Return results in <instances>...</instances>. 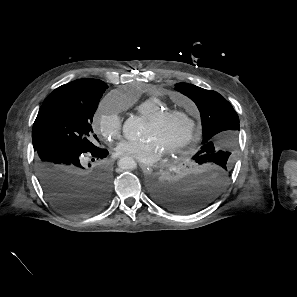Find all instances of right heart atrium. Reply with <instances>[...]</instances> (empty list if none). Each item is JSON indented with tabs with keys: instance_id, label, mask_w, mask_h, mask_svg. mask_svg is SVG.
Listing matches in <instances>:
<instances>
[{
	"instance_id": "right-heart-atrium-1",
	"label": "right heart atrium",
	"mask_w": 297,
	"mask_h": 297,
	"mask_svg": "<svg viewBox=\"0 0 297 297\" xmlns=\"http://www.w3.org/2000/svg\"><path fill=\"white\" fill-rule=\"evenodd\" d=\"M123 107L113 98L112 94L105 96L95 114L96 127L104 138L111 141L120 136L122 119L120 112Z\"/></svg>"
}]
</instances>
